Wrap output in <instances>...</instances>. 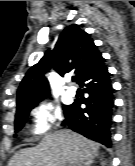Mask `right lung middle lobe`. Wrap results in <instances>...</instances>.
<instances>
[{
  "label": "right lung middle lobe",
  "mask_w": 135,
  "mask_h": 166,
  "mask_svg": "<svg viewBox=\"0 0 135 166\" xmlns=\"http://www.w3.org/2000/svg\"><path fill=\"white\" fill-rule=\"evenodd\" d=\"M37 103L32 104V105H27L22 108H19L16 110V115H15V130L16 132L19 131L23 126L24 123L26 122V119L31 111ZM69 107V105H64L63 109L66 111V109Z\"/></svg>",
  "instance_id": "right-lung-middle-lobe-1"
}]
</instances>
